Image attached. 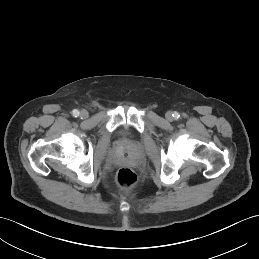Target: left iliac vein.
Instances as JSON below:
<instances>
[{"mask_svg": "<svg viewBox=\"0 0 259 259\" xmlns=\"http://www.w3.org/2000/svg\"><path fill=\"white\" fill-rule=\"evenodd\" d=\"M166 119L168 120V121H172L173 120V113L172 112H167L166 113Z\"/></svg>", "mask_w": 259, "mask_h": 259, "instance_id": "left-iliac-vein-1", "label": "left iliac vein"}]
</instances>
